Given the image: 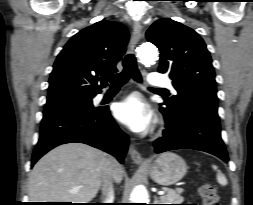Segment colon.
Returning <instances> with one entry per match:
<instances>
[{"label": "colon", "mask_w": 253, "mask_h": 205, "mask_svg": "<svg viewBox=\"0 0 253 205\" xmlns=\"http://www.w3.org/2000/svg\"><path fill=\"white\" fill-rule=\"evenodd\" d=\"M204 205H218L219 197L216 188L208 181H203L198 189Z\"/></svg>", "instance_id": "1"}]
</instances>
